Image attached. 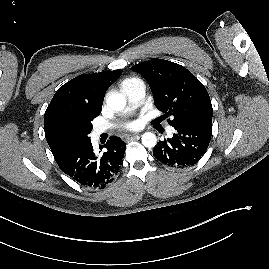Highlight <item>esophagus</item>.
<instances>
[{
  "label": "esophagus",
  "instance_id": "1",
  "mask_svg": "<svg viewBox=\"0 0 269 269\" xmlns=\"http://www.w3.org/2000/svg\"><path fill=\"white\" fill-rule=\"evenodd\" d=\"M139 138V135L138 134H132V135H126L124 137V140L125 141H128V140H133V139H138Z\"/></svg>",
  "mask_w": 269,
  "mask_h": 269
}]
</instances>
